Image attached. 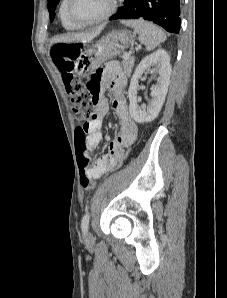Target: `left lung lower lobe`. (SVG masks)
I'll use <instances>...</instances> for the list:
<instances>
[{"mask_svg": "<svg viewBox=\"0 0 227 298\" xmlns=\"http://www.w3.org/2000/svg\"><path fill=\"white\" fill-rule=\"evenodd\" d=\"M180 0H124V6L111 16L116 19H146L165 30L179 33L180 30Z\"/></svg>", "mask_w": 227, "mask_h": 298, "instance_id": "left-lung-lower-lobe-1", "label": "left lung lower lobe"}]
</instances>
